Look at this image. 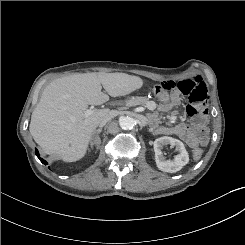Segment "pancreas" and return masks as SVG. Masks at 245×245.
Listing matches in <instances>:
<instances>
[{
  "instance_id": "1",
  "label": "pancreas",
  "mask_w": 245,
  "mask_h": 245,
  "mask_svg": "<svg viewBox=\"0 0 245 245\" xmlns=\"http://www.w3.org/2000/svg\"><path fill=\"white\" fill-rule=\"evenodd\" d=\"M148 102V99L146 97H132L131 99L126 100L123 105L126 107H131L135 105H143Z\"/></svg>"
}]
</instances>
